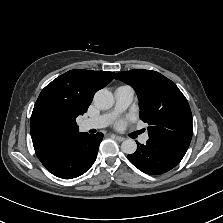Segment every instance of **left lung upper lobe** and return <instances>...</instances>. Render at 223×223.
<instances>
[{"mask_svg":"<svg viewBox=\"0 0 223 223\" xmlns=\"http://www.w3.org/2000/svg\"><path fill=\"white\" fill-rule=\"evenodd\" d=\"M116 79L137 92L140 118L149 124L150 139L188 149L193 132L191 109L174 82L156 71L142 69L119 72Z\"/></svg>","mask_w":223,"mask_h":223,"instance_id":"1","label":"left lung upper lobe"}]
</instances>
